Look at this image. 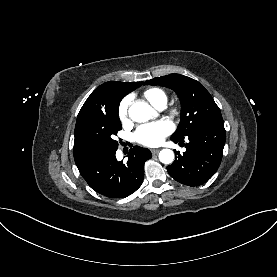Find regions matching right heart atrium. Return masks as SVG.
<instances>
[{"label":"right heart atrium","instance_id":"right-heart-atrium-1","mask_svg":"<svg viewBox=\"0 0 277 277\" xmlns=\"http://www.w3.org/2000/svg\"><path fill=\"white\" fill-rule=\"evenodd\" d=\"M129 105H130L129 97H125L119 104L118 116L122 122H126L128 120Z\"/></svg>","mask_w":277,"mask_h":277}]
</instances>
